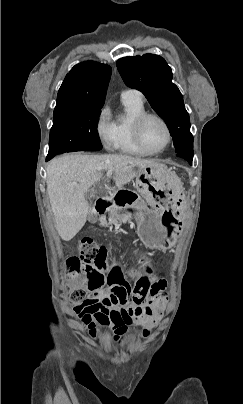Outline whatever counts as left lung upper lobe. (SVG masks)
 Instances as JSON below:
<instances>
[{
	"instance_id": "5c2ea615",
	"label": "left lung upper lobe",
	"mask_w": 243,
	"mask_h": 404,
	"mask_svg": "<svg viewBox=\"0 0 243 404\" xmlns=\"http://www.w3.org/2000/svg\"><path fill=\"white\" fill-rule=\"evenodd\" d=\"M125 84L141 91L151 107L166 122L175 153L193 154L189 114L183 96L172 83V70L159 55L121 58L116 63Z\"/></svg>"
}]
</instances>
